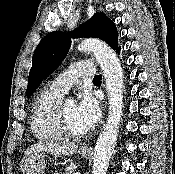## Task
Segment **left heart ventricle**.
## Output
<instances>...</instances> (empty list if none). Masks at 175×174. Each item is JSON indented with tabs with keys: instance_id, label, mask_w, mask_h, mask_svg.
<instances>
[{
	"instance_id": "b2bd125f",
	"label": "left heart ventricle",
	"mask_w": 175,
	"mask_h": 174,
	"mask_svg": "<svg viewBox=\"0 0 175 174\" xmlns=\"http://www.w3.org/2000/svg\"><path fill=\"white\" fill-rule=\"evenodd\" d=\"M64 114L71 130L75 132H84L87 130L77 115L75 102L70 101L64 104Z\"/></svg>"
}]
</instances>
